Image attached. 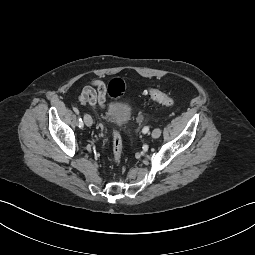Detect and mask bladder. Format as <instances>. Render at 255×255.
<instances>
[{"instance_id":"bladder-1","label":"bladder","mask_w":255,"mask_h":255,"mask_svg":"<svg viewBox=\"0 0 255 255\" xmlns=\"http://www.w3.org/2000/svg\"><path fill=\"white\" fill-rule=\"evenodd\" d=\"M107 120L117 126H125L132 119V108L128 102L111 101L105 111Z\"/></svg>"}]
</instances>
